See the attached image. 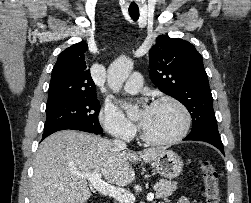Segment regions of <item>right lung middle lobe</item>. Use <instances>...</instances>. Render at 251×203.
<instances>
[{
  "label": "right lung middle lobe",
  "instance_id": "obj_1",
  "mask_svg": "<svg viewBox=\"0 0 251 203\" xmlns=\"http://www.w3.org/2000/svg\"><path fill=\"white\" fill-rule=\"evenodd\" d=\"M99 111L100 103L97 97L46 107L45 131L63 126L77 125L101 134L103 130L98 121Z\"/></svg>",
  "mask_w": 251,
  "mask_h": 203
}]
</instances>
